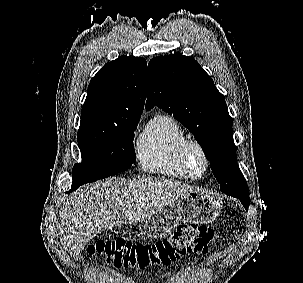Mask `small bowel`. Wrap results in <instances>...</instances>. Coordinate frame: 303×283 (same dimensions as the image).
<instances>
[{
    "instance_id": "obj_1",
    "label": "small bowel",
    "mask_w": 303,
    "mask_h": 283,
    "mask_svg": "<svg viewBox=\"0 0 303 283\" xmlns=\"http://www.w3.org/2000/svg\"><path fill=\"white\" fill-rule=\"evenodd\" d=\"M169 276V274H162L158 277V279H165Z\"/></svg>"
}]
</instances>
